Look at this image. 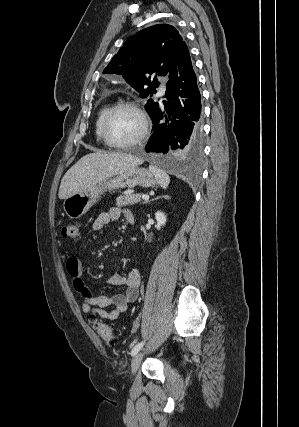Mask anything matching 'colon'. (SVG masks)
<instances>
[{
    "mask_svg": "<svg viewBox=\"0 0 299 427\" xmlns=\"http://www.w3.org/2000/svg\"><path fill=\"white\" fill-rule=\"evenodd\" d=\"M60 234L63 238L77 241L80 239V227L77 223L65 224L61 227ZM94 327L101 339L108 345L117 343V337L114 335L111 327L99 320L94 321Z\"/></svg>",
    "mask_w": 299,
    "mask_h": 427,
    "instance_id": "5ec220e1",
    "label": "colon"
}]
</instances>
